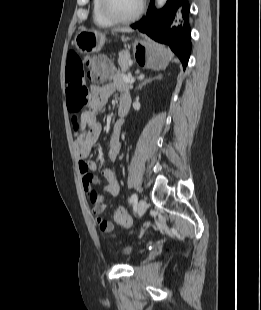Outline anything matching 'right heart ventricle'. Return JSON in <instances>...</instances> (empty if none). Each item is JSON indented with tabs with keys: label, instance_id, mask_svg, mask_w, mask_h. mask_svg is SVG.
Masks as SVG:
<instances>
[{
	"label": "right heart ventricle",
	"instance_id": "e07e8e85",
	"mask_svg": "<svg viewBox=\"0 0 261 310\" xmlns=\"http://www.w3.org/2000/svg\"><path fill=\"white\" fill-rule=\"evenodd\" d=\"M92 18L95 25L101 28H109L114 25L111 21L107 20L100 12L99 0H93L92 2Z\"/></svg>",
	"mask_w": 261,
	"mask_h": 310
}]
</instances>
